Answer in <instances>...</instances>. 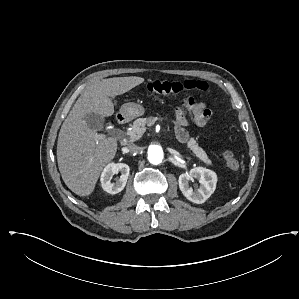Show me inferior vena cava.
I'll return each instance as SVG.
<instances>
[{"label": "inferior vena cava", "instance_id": "inferior-vena-cava-1", "mask_svg": "<svg viewBox=\"0 0 299 299\" xmlns=\"http://www.w3.org/2000/svg\"><path fill=\"white\" fill-rule=\"evenodd\" d=\"M128 150L131 152V153H138L141 151V147L135 145L134 143H130L128 145Z\"/></svg>", "mask_w": 299, "mask_h": 299}]
</instances>
